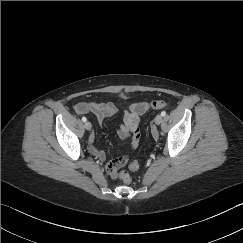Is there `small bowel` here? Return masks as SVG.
I'll return each instance as SVG.
<instances>
[{"mask_svg":"<svg viewBox=\"0 0 243 243\" xmlns=\"http://www.w3.org/2000/svg\"><path fill=\"white\" fill-rule=\"evenodd\" d=\"M120 109V106L114 102H79L76 105V111L79 114H93L95 115L97 121L101 124L105 117L116 114ZM149 109V104L147 102H137L128 106L124 110L123 122L119 124L116 128L118 137L121 140H130V146L134 149L140 139L139 132V118ZM96 136L94 134L89 136V152L94 158L103 161L105 160V153L94 147ZM123 165L118 161H108L105 164L107 174L115 179L117 177L118 170Z\"/></svg>","mask_w":243,"mask_h":243,"instance_id":"obj_1","label":"small bowel"}]
</instances>
